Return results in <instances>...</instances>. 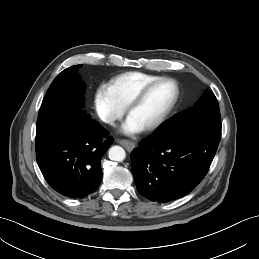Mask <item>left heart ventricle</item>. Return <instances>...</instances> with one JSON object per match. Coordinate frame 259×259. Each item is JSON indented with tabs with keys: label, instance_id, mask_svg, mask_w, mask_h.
Masks as SVG:
<instances>
[{
	"label": "left heart ventricle",
	"instance_id": "1",
	"mask_svg": "<svg viewBox=\"0 0 259 259\" xmlns=\"http://www.w3.org/2000/svg\"><path fill=\"white\" fill-rule=\"evenodd\" d=\"M174 96L175 87L172 83H159L146 94L129 116L144 128L161 116Z\"/></svg>",
	"mask_w": 259,
	"mask_h": 259
}]
</instances>
